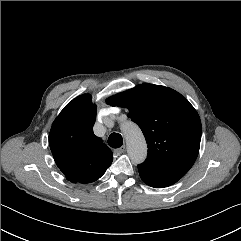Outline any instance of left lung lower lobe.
Masks as SVG:
<instances>
[{
    "instance_id": "1",
    "label": "left lung lower lobe",
    "mask_w": 241,
    "mask_h": 241,
    "mask_svg": "<svg viewBox=\"0 0 241 241\" xmlns=\"http://www.w3.org/2000/svg\"><path fill=\"white\" fill-rule=\"evenodd\" d=\"M141 179L149 186L155 187V188H163V187H168L170 184L163 182L161 180L149 177L143 173H139Z\"/></svg>"
}]
</instances>
